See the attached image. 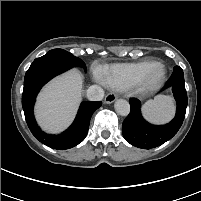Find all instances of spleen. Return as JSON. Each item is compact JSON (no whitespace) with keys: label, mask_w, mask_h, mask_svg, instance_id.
Here are the masks:
<instances>
[{"label":"spleen","mask_w":201,"mask_h":201,"mask_svg":"<svg viewBox=\"0 0 201 201\" xmlns=\"http://www.w3.org/2000/svg\"><path fill=\"white\" fill-rule=\"evenodd\" d=\"M142 112L144 117L151 122H167L174 116V101L169 95H158L153 100H148L143 105Z\"/></svg>","instance_id":"obj_1"}]
</instances>
